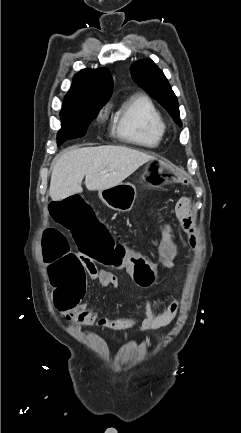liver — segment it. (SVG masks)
Wrapping results in <instances>:
<instances>
[{
  "label": "liver",
  "instance_id": "obj_1",
  "mask_svg": "<svg viewBox=\"0 0 241 433\" xmlns=\"http://www.w3.org/2000/svg\"><path fill=\"white\" fill-rule=\"evenodd\" d=\"M152 159L153 156L120 146L64 150L53 164L49 195L57 201L81 193L84 177L90 191L111 188Z\"/></svg>",
  "mask_w": 241,
  "mask_h": 433
}]
</instances>
